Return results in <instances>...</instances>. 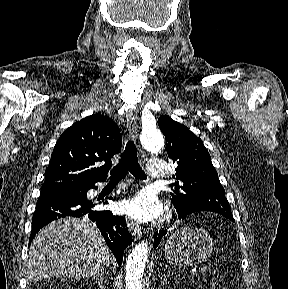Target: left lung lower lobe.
<instances>
[{
  "instance_id": "0a47b994",
  "label": "left lung lower lobe",
  "mask_w": 288,
  "mask_h": 289,
  "mask_svg": "<svg viewBox=\"0 0 288 289\" xmlns=\"http://www.w3.org/2000/svg\"><path fill=\"white\" fill-rule=\"evenodd\" d=\"M177 213H178L179 218H183L188 214L187 212H181L178 210H177ZM166 233H167V230H161V231L155 233L154 244H153L154 248H156L159 245L160 241L162 240V238L165 236Z\"/></svg>"
}]
</instances>
